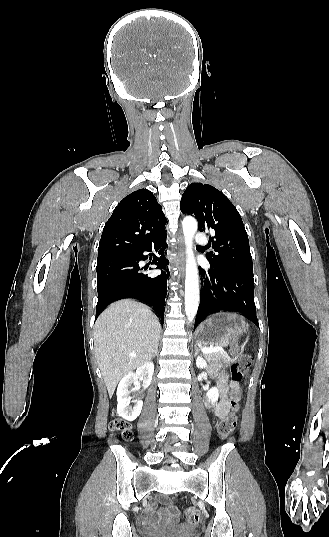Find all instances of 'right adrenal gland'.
Segmentation results:
<instances>
[{
  "label": "right adrenal gland",
  "instance_id": "obj_1",
  "mask_svg": "<svg viewBox=\"0 0 329 537\" xmlns=\"http://www.w3.org/2000/svg\"><path fill=\"white\" fill-rule=\"evenodd\" d=\"M157 352H158V343H157V346H156V349H155V352L153 354V357H155L157 355Z\"/></svg>",
  "mask_w": 329,
  "mask_h": 537
}]
</instances>
